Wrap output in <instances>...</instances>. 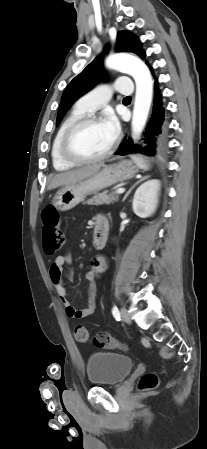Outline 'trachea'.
Segmentation results:
<instances>
[{
    "label": "trachea",
    "mask_w": 207,
    "mask_h": 449,
    "mask_svg": "<svg viewBox=\"0 0 207 449\" xmlns=\"http://www.w3.org/2000/svg\"><path fill=\"white\" fill-rule=\"evenodd\" d=\"M130 99H131L130 96H127V97L124 98V100H130Z\"/></svg>",
    "instance_id": "3493384b"
}]
</instances>
